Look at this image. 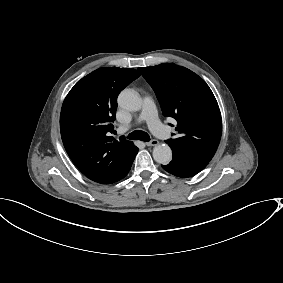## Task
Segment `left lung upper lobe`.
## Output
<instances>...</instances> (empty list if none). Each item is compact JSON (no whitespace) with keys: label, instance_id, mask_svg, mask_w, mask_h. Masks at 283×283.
I'll return each instance as SVG.
<instances>
[{"label":"left lung upper lobe","instance_id":"left-lung-upper-lobe-1","mask_svg":"<svg viewBox=\"0 0 283 283\" xmlns=\"http://www.w3.org/2000/svg\"><path fill=\"white\" fill-rule=\"evenodd\" d=\"M160 102L163 115L177 121L179 136L166 140L172 150L210 161L222 132L218 103L206 82L173 63L139 68Z\"/></svg>","mask_w":283,"mask_h":283}]
</instances>
